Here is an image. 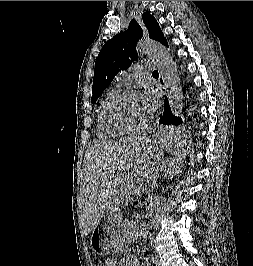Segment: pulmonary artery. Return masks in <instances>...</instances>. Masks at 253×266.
I'll return each instance as SVG.
<instances>
[{"label":"pulmonary artery","instance_id":"1","mask_svg":"<svg viewBox=\"0 0 253 266\" xmlns=\"http://www.w3.org/2000/svg\"><path fill=\"white\" fill-rule=\"evenodd\" d=\"M153 64V61L149 60L134 64L129 71L123 72L120 77H118L119 82L122 84H129L138 75L144 74L148 70L152 69Z\"/></svg>","mask_w":253,"mask_h":266}]
</instances>
